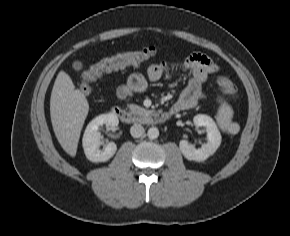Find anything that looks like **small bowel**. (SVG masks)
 Segmentation results:
<instances>
[{"label": "small bowel", "instance_id": "1", "mask_svg": "<svg viewBox=\"0 0 290 236\" xmlns=\"http://www.w3.org/2000/svg\"><path fill=\"white\" fill-rule=\"evenodd\" d=\"M177 69L190 73V78L179 99L170 110L180 112L192 109L204 99L202 87L208 77L219 71V66L209 56L199 52L191 53L179 65L162 61L149 65L145 73L131 74L125 85L114 89L115 96L120 101H128L133 95L145 92L149 81H158Z\"/></svg>", "mask_w": 290, "mask_h": 236}]
</instances>
